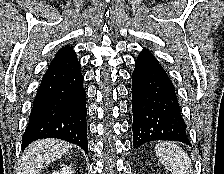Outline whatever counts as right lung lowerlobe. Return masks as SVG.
<instances>
[{
  "mask_svg": "<svg viewBox=\"0 0 224 174\" xmlns=\"http://www.w3.org/2000/svg\"><path fill=\"white\" fill-rule=\"evenodd\" d=\"M85 98L83 75L75 52L56 57L35 96L22 137V150L37 139L58 138L77 144L87 153Z\"/></svg>",
  "mask_w": 224,
  "mask_h": 174,
  "instance_id": "98d812e1",
  "label": "right lung lower lobe"
}]
</instances>
